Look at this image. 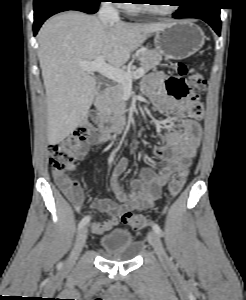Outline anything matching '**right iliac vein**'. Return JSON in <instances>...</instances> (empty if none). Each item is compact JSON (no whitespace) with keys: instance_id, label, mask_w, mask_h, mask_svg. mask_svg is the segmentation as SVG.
<instances>
[{"instance_id":"1","label":"right iliac vein","mask_w":246,"mask_h":300,"mask_svg":"<svg viewBox=\"0 0 246 300\" xmlns=\"http://www.w3.org/2000/svg\"><path fill=\"white\" fill-rule=\"evenodd\" d=\"M86 239H87V227H82L76 237V241L73 250L71 252V255L66 262V269H71L75 265L79 257V254L83 246L85 245Z\"/></svg>"}]
</instances>
